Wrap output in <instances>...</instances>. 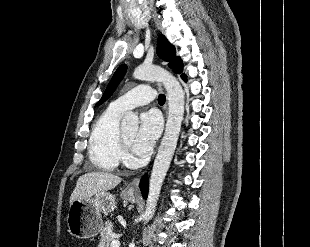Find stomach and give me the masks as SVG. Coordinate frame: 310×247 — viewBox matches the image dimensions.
<instances>
[{
    "label": "stomach",
    "mask_w": 310,
    "mask_h": 247,
    "mask_svg": "<svg viewBox=\"0 0 310 247\" xmlns=\"http://www.w3.org/2000/svg\"><path fill=\"white\" fill-rule=\"evenodd\" d=\"M121 197L132 203L137 200V195L127 188L122 191ZM115 207V196L107 191H101L93 198L74 200L66 218L68 232L79 239L96 236L103 228L101 213L108 214Z\"/></svg>",
    "instance_id": "obj_1"
}]
</instances>
